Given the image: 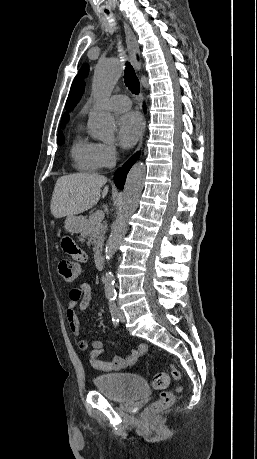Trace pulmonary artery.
<instances>
[{
    "mask_svg": "<svg viewBox=\"0 0 257 459\" xmlns=\"http://www.w3.org/2000/svg\"><path fill=\"white\" fill-rule=\"evenodd\" d=\"M107 106L113 111H125L130 108L131 102L126 95H113L107 100Z\"/></svg>",
    "mask_w": 257,
    "mask_h": 459,
    "instance_id": "1",
    "label": "pulmonary artery"
}]
</instances>
